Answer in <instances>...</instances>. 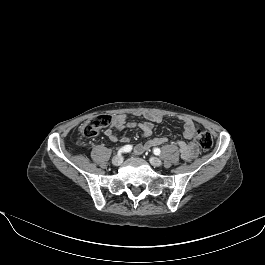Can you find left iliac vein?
I'll return each mask as SVG.
<instances>
[{
    "mask_svg": "<svg viewBox=\"0 0 265 265\" xmlns=\"http://www.w3.org/2000/svg\"><path fill=\"white\" fill-rule=\"evenodd\" d=\"M149 161L153 166H156V167H159L162 165V161L157 157H150Z\"/></svg>",
    "mask_w": 265,
    "mask_h": 265,
    "instance_id": "left-iliac-vein-1",
    "label": "left iliac vein"
}]
</instances>
